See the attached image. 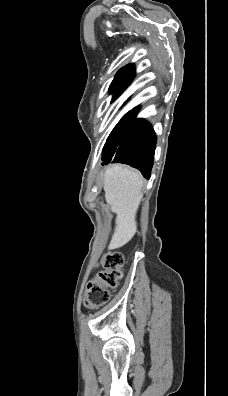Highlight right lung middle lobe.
Listing matches in <instances>:
<instances>
[{
    "mask_svg": "<svg viewBox=\"0 0 228 396\" xmlns=\"http://www.w3.org/2000/svg\"><path fill=\"white\" fill-rule=\"evenodd\" d=\"M134 74L115 78L110 85V92L113 93L112 102L121 95V93L131 83Z\"/></svg>",
    "mask_w": 228,
    "mask_h": 396,
    "instance_id": "1",
    "label": "right lung middle lobe"
}]
</instances>
